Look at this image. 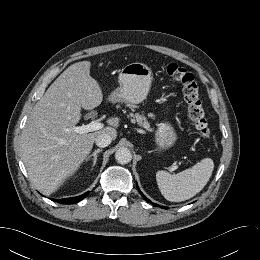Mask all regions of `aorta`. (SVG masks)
<instances>
[{"instance_id":"aorta-1","label":"aorta","mask_w":260,"mask_h":260,"mask_svg":"<svg viewBox=\"0 0 260 260\" xmlns=\"http://www.w3.org/2000/svg\"><path fill=\"white\" fill-rule=\"evenodd\" d=\"M116 161L120 164H127L132 160V154L126 147H120L115 153Z\"/></svg>"}]
</instances>
